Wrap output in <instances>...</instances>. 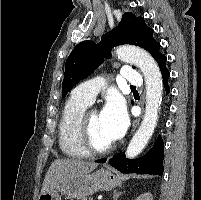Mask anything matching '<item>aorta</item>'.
I'll use <instances>...</instances> for the list:
<instances>
[{"label": "aorta", "instance_id": "obj_1", "mask_svg": "<svg viewBox=\"0 0 201 200\" xmlns=\"http://www.w3.org/2000/svg\"><path fill=\"white\" fill-rule=\"evenodd\" d=\"M116 55L121 61L137 66L142 71L146 84L144 117L126 150V156L134 158L144 149L154 132L162 101V76L156 61L143 49L121 46L117 48Z\"/></svg>", "mask_w": 201, "mask_h": 200}]
</instances>
